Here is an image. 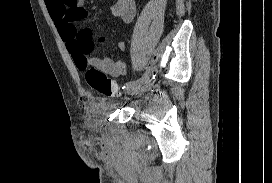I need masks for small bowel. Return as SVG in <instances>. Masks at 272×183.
<instances>
[{
    "mask_svg": "<svg viewBox=\"0 0 272 183\" xmlns=\"http://www.w3.org/2000/svg\"><path fill=\"white\" fill-rule=\"evenodd\" d=\"M49 14L55 22L60 37L65 42L68 52L76 67L85 71L93 67L113 77L126 73V65L122 60L107 57H89L95 40L92 30L87 25L89 13L84 7V0H45ZM137 12L135 0H116L112 14L124 22H131ZM100 37L97 41H103ZM120 50H124L125 42L118 43Z\"/></svg>",
    "mask_w": 272,
    "mask_h": 183,
    "instance_id": "1",
    "label": "small bowel"
}]
</instances>
